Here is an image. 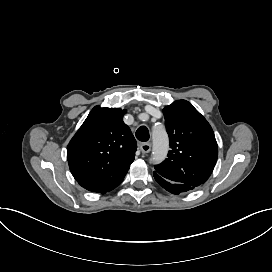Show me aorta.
Here are the masks:
<instances>
[{
    "label": "aorta",
    "instance_id": "obj_1",
    "mask_svg": "<svg viewBox=\"0 0 272 272\" xmlns=\"http://www.w3.org/2000/svg\"><path fill=\"white\" fill-rule=\"evenodd\" d=\"M153 149L155 161L160 162L166 156L168 150V138L163 130H155L153 132Z\"/></svg>",
    "mask_w": 272,
    "mask_h": 272
}]
</instances>
